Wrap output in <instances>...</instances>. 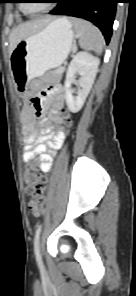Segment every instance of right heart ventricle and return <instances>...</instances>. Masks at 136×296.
I'll use <instances>...</instances> for the list:
<instances>
[{
	"label": "right heart ventricle",
	"instance_id": "e07e8e85",
	"mask_svg": "<svg viewBox=\"0 0 136 296\" xmlns=\"http://www.w3.org/2000/svg\"><path fill=\"white\" fill-rule=\"evenodd\" d=\"M20 9H21V11H22L23 13H25L24 10H23V8H22V6H20Z\"/></svg>",
	"mask_w": 136,
	"mask_h": 296
}]
</instances>
